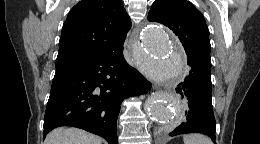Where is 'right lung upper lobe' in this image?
Returning <instances> with one entry per match:
<instances>
[{
	"mask_svg": "<svg viewBox=\"0 0 260 144\" xmlns=\"http://www.w3.org/2000/svg\"><path fill=\"white\" fill-rule=\"evenodd\" d=\"M131 20L122 0H82L63 24L56 67L123 49Z\"/></svg>",
	"mask_w": 260,
	"mask_h": 144,
	"instance_id": "cb5924a9",
	"label": "right lung upper lobe"
}]
</instances>
